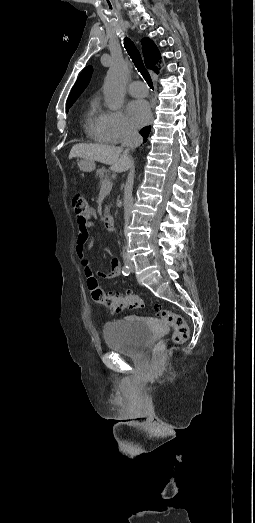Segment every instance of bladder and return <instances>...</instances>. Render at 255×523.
<instances>
[{
  "label": "bladder",
  "instance_id": "bladder-1",
  "mask_svg": "<svg viewBox=\"0 0 255 523\" xmlns=\"http://www.w3.org/2000/svg\"><path fill=\"white\" fill-rule=\"evenodd\" d=\"M106 346L113 351L133 355L151 340L153 331L138 319L106 323L103 326Z\"/></svg>",
  "mask_w": 255,
  "mask_h": 523
}]
</instances>
